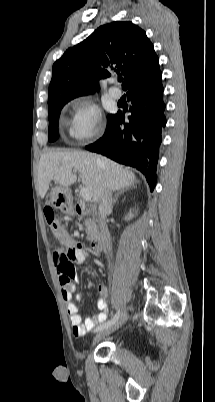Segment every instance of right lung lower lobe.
Masks as SVG:
<instances>
[{
	"mask_svg": "<svg viewBox=\"0 0 215 402\" xmlns=\"http://www.w3.org/2000/svg\"><path fill=\"white\" fill-rule=\"evenodd\" d=\"M163 90L160 77L128 91L127 98L132 104L129 123L124 122V114L118 111L108 118L103 137L86 146L89 151L140 170L146 176L151 191L157 179L155 172L162 141L161 130L166 125Z\"/></svg>",
	"mask_w": 215,
	"mask_h": 402,
	"instance_id": "1",
	"label": "right lung lower lobe"
}]
</instances>
